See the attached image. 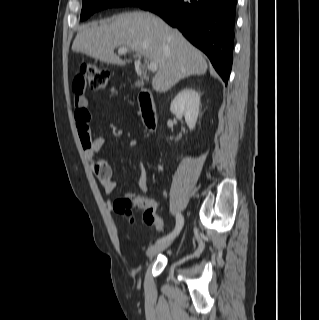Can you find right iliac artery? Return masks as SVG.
Here are the masks:
<instances>
[{
	"label": "right iliac artery",
	"instance_id": "1",
	"mask_svg": "<svg viewBox=\"0 0 319 320\" xmlns=\"http://www.w3.org/2000/svg\"><path fill=\"white\" fill-rule=\"evenodd\" d=\"M183 224H184L183 216L180 213H177L176 214V227L173 230V232H171L170 234L158 239L156 243L166 242V241H169V240L173 239L174 237H176V235H178L180 230L182 229Z\"/></svg>",
	"mask_w": 319,
	"mask_h": 320
}]
</instances>
